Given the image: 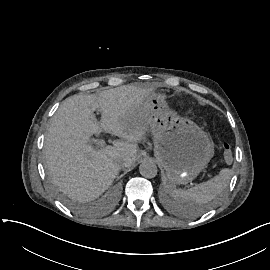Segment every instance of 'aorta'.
Segmentation results:
<instances>
[{"mask_svg":"<svg viewBox=\"0 0 270 270\" xmlns=\"http://www.w3.org/2000/svg\"><path fill=\"white\" fill-rule=\"evenodd\" d=\"M140 174L145 178H154L158 173L157 165L151 160H145L139 167Z\"/></svg>","mask_w":270,"mask_h":270,"instance_id":"762f6f07","label":"aorta"}]
</instances>
